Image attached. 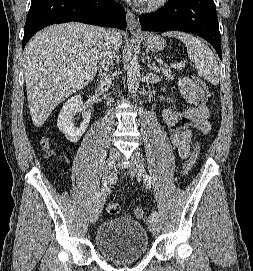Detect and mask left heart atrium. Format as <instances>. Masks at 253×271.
I'll list each match as a JSON object with an SVG mask.
<instances>
[{"instance_id": "1", "label": "left heart atrium", "mask_w": 253, "mask_h": 271, "mask_svg": "<svg viewBox=\"0 0 253 271\" xmlns=\"http://www.w3.org/2000/svg\"><path fill=\"white\" fill-rule=\"evenodd\" d=\"M134 1H136V2H138V3H144V2H146L147 0H134Z\"/></svg>"}]
</instances>
